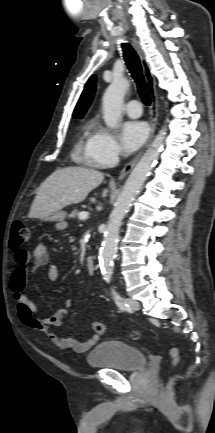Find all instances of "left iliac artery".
Returning <instances> with one entry per match:
<instances>
[{
  "mask_svg": "<svg viewBox=\"0 0 215 433\" xmlns=\"http://www.w3.org/2000/svg\"><path fill=\"white\" fill-rule=\"evenodd\" d=\"M112 294H113L114 301L120 310L126 311L129 309V305L114 289L112 290Z\"/></svg>",
  "mask_w": 215,
  "mask_h": 433,
  "instance_id": "left-iliac-artery-1",
  "label": "left iliac artery"
}]
</instances>
